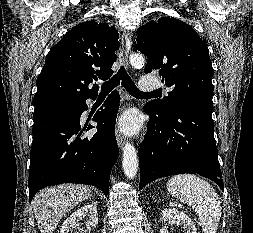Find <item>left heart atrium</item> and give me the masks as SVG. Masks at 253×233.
Here are the masks:
<instances>
[{
    "label": "left heart atrium",
    "mask_w": 253,
    "mask_h": 233,
    "mask_svg": "<svg viewBox=\"0 0 253 233\" xmlns=\"http://www.w3.org/2000/svg\"><path fill=\"white\" fill-rule=\"evenodd\" d=\"M139 127V122L135 114H126L121 121V128L125 132H135Z\"/></svg>",
    "instance_id": "39dd6f15"
}]
</instances>
